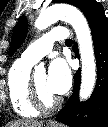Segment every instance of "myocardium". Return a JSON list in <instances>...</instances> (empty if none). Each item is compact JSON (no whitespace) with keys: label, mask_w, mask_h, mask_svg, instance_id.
<instances>
[{"label":"myocardium","mask_w":108,"mask_h":127,"mask_svg":"<svg viewBox=\"0 0 108 127\" xmlns=\"http://www.w3.org/2000/svg\"><path fill=\"white\" fill-rule=\"evenodd\" d=\"M29 93L32 105L35 109L41 112L51 111L55 109L60 103V99L58 98L46 100L38 89L34 77H30L29 80Z\"/></svg>","instance_id":"myocardium-1"}]
</instances>
